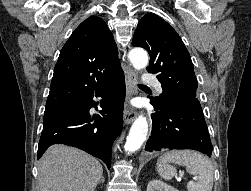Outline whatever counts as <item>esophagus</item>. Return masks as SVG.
<instances>
[{
  "mask_svg": "<svg viewBox=\"0 0 251 191\" xmlns=\"http://www.w3.org/2000/svg\"><path fill=\"white\" fill-rule=\"evenodd\" d=\"M126 78H127L126 99L129 100L137 92L136 82L138 78L137 73L130 66H128ZM137 114L138 113L136 109L126 105L124 109V123L125 124L131 123L137 117Z\"/></svg>",
  "mask_w": 251,
  "mask_h": 191,
  "instance_id": "34e87169",
  "label": "esophagus"
}]
</instances>
